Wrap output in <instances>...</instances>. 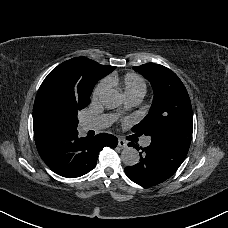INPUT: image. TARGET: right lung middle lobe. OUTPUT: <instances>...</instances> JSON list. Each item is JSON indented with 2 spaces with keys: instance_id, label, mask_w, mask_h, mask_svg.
Here are the masks:
<instances>
[{
  "instance_id": "dd1d6c3e",
  "label": "right lung middle lobe",
  "mask_w": 228,
  "mask_h": 228,
  "mask_svg": "<svg viewBox=\"0 0 228 228\" xmlns=\"http://www.w3.org/2000/svg\"><path fill=\"white\" fill-rule=\"evenodd\" d=\"M40 116L58 131L76 130L78 111L85 108L89 100H77L55 82L42 83L36 99Z\"/></svg>"
}]
</instances>
